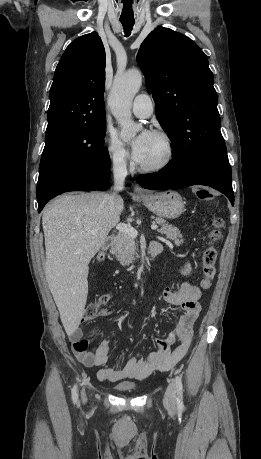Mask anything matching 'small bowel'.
Instances as JSON below:
<instances>
[{
  "label": "small bowel",
  "instance_id": "small-bowel-1",
  "mask_svg": "<svg viewBox=\"0 0 261 459\" xmlns=\"http://www.w3.org/2000/svg\"><path fill=\"white\" fill-rule=\"evenodd\" d=\"M104 253L96 256L97 262H102ZM181 273L190 277L192 267L185 261L181 266ZM200 289L191 281H186L179 290L166 288L162 293L163 311L169 313L174 307L182 311L178 322L170 333L164 338L156 340V351L146 358L139 359L135 356L127 360L120 369L110 367L101 368L97 377L100 381H119L125 378L142 379L148 376L153 370H168L174 367L188 352L193 336V327L200 314L201 305L199 299ZM109 310L102 309L100 316H107ZM71 342L72 351L77 360L86 367L105 366L108 362L110 346L107 339L99 342L95 351L88 350V341L83 339V331L79 326H72L67 329ZM178 342V346L171 352L170 347Z\"/></svg>",
  "mask_w": 261,
  "mask_h": 459
}]
</instances>
